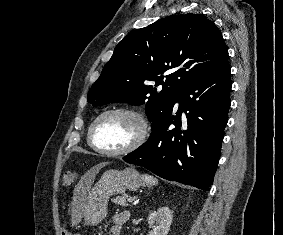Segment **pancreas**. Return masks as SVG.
I'll list each match as a JSON object with an SVG mask.
<instances>
[{
	"label": "pancreas",
	"mask_w": 283,
	"mask_h": 235,
	"mask_svg": "<svg viewBox=\"0 0 283 235\" xmlns=\"http://www.w3.org/2000/svg\"><path fill=\"white\" fill-rule=\"evenodd\" d=\"M130 196L128 194H124L122 196H118L116 198L113 199V202L115 204H118L120 206H124V207H127L129 206V203L130 202Z\"/></svg>",
	"instance_id": "1"
}]
</instances>
